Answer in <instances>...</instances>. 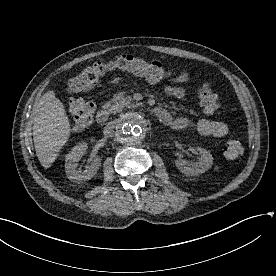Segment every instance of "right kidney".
I'll list each match as a JSON object with an SVG mask.
<instances>
[{"mask_svg": "<svg viewBox=\"0 0 276 276\" xmlns=\"http://www.w3.org/2000/svg\"><path fill=\"white\" fill-rule=\"evenodd\" d=\"M88 145L86 142L78 143L66 155L65 172L67 177L76 183L90 180L101 166V158L96 156L93 158L91 164L85 170L77 169V162L83 157Z\"/></svg>", "mask_w": 276, "mask_h": 276, "instance_id": "1", "label": "right kidney"}]
</instances>
